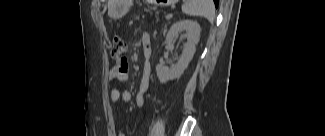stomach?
<instances>
[{
  "label": "stomach",
  "mask_w": 325,
  "mask_h": 136,
  "mask_svg": "<svg viewBox=\"0 0 325 136\" xmlns=\"http://www.w3.org/2000/svg\"><path fill=\"white\" fill-rule=\"evenodd\" d=\"M112 15L114 18H119L125 15L130 7L131 2L128 0H113ZM150 3L156 6H170L173 5L177 0H149Z\"/></svg>",
  "instance_id": "obj_1"
}]
</instances>
